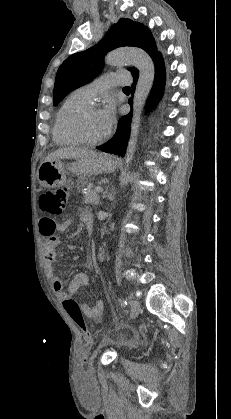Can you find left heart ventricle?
Listing matches in <instances>:
<instances>
[{"mask_svg":"<svg viewBox=\"0 0 231 419\" xmlns=\"http://www.w3.org/2000/svg\"><path fill=\"white\" fill-rule=\"evenodd\" d=\"M77 128L87 138H97L107 132L100 110L97 109L83 114L77 122Z\"/></svg>","mask_w":231,"mask_h":419,"instance_id":"left-heart-ventricle-1","label":"left heart ventricle"}]
</instances>
